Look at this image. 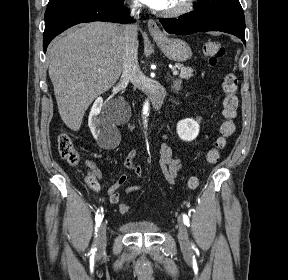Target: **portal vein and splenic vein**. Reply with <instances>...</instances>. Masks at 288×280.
<instances>
[{"label": "portal vein and splenic vein", "instance_id": "18ae733b", "mask_svg": "<svg viewBox=\"0 0 288 280\" xmlns=\"http://www.w3.org/2000/svg\"><path fill=\"white\" fill-rule=\"evenodd\" d=\"M173 70V75H178V70H176L175 68L172 69Z\"/></svg>", "mask_w": 288, "mask_h": 280}]
</instances>
